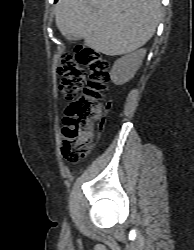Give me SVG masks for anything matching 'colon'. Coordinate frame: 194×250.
<instances>
[{
  "instance_id": "5ec220e1",
  "label": "colon",
  "mask_w": 194,
  "mask_h": 250,
  "mask_svg": "<svg viewBox=\"0 0 194 250\" xmlns=\"http://www.w3.org/2000/svg\"><path fill=\"white\" fill-rule=\"evenodd\" d=\"M83 67L87 71V80ZM60 91L65 99L62 144L63 157L69 162L83 159L92 139V124L102 113L104 92L109 80L108 61L103 55L79 45L73 54L60 57Z\"/></svg>"
}]
</instances>
